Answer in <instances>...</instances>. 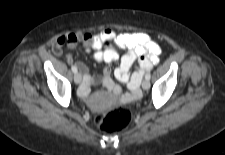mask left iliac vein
Returning <instances> with one entry per match:
<instances>
[{"label": "left iliac vein", "mask_w": 225, "mask_h": 155, "mask_svg": "<svg viewBox=\"0 0 225 155\" xmlns=\"http://www.w3.org/2000/svg\"><path fill=\"white\" fill-rule=\"evenodd\" d=\"M142 88L144 90H148L150 88V82L148 79H144L143 82H142Z\"/></svg>", "instance_id": "left-iliac-vein-1"}]
</instances>
